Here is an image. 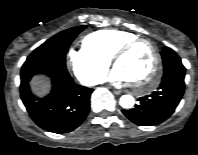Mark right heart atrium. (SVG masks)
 <instances>
[{"label":"right heart atrium","mask_w":198,"mask_h":155,"mask_svg":"<svg viewBox=\"0 0 198 155\" xmlns=\"http://www.w3.org/2000/svg\"><path fill=\"white\" fill-rule=\"evenodd\" d=\"M67 61L73 74L86 85H95L101 82L109 67V60L85 45L70 47L67 53Z\"/></svg>","instance_id":"1"}]
</instances>
